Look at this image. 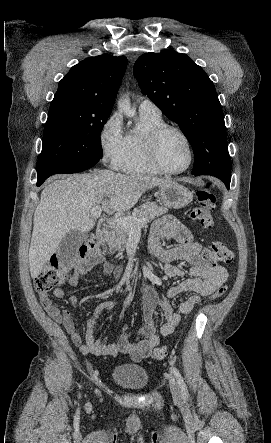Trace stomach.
I'll list each match as a JSON object with an SVG mask.
<instances>
[{
	"mask_svg": "<svg viewBox=\"0 0 271 443\" xmlns=\"http://www.w3.org/2000/svg\"><path fill=\"white\" fill-rule=\"evenodd\" d=\"M160 200L167 208H185L193 200L192 192L177 182H167L160 186Z\"/></svg>",
	"mask_w": 271,
	"mask_h": 443,
	"instance_id": "stomach-1",
	"label": "stomach"
}]
</instances>
